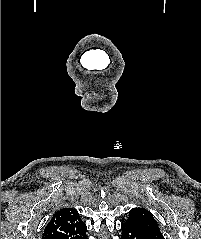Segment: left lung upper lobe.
I'll use <instances>...</instances> for the list:
<instances>
[{"label":"left lung upper lobe","instance_id":"obj_1","mask_svg":"<svg viewBox=\"0 0 201 239\" xmlns=\"http://www.w3.org/2000/svg\"><path fill=\"white\" fill-rule=\"evenodd\" d=\"M126 222L138 225L151 235L153 239H164L152 213L144 208L132 209Z\"/></svg>","mask_w":201,"mask_h":239}]
</instances>
